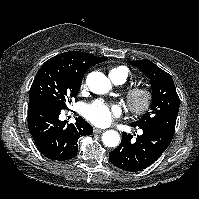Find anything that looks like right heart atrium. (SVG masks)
Masks as SVG:
<instances>
[{
	"label": "right heart atrium",
	"mask_w": 199,
	"mask_h": 199,
	"mask_svg": "<svg viewBox=\"0 0 199 199\" xmlns=\"http://www.w3.org/2000/svg\"><path fill=\"white\" fill-rule=\"evenodd\" d=\"M82 88H84V84H82V86H81Z\"/></svg>",
	"instance_id": "right-heart-atrium-1"
}]
</instances>
